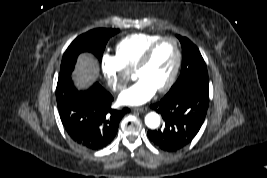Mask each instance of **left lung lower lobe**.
Here are the masks:
<instances>
[{"instance_id":"0a47b994","label":"left lung lower lobe","mask_w":267,"mask_h":178,"mask_svg":"<svg viewBox=\"0 0 267 178\" xmlns=\"http://www.w3.org/2000/svg\"><path fill=\"white\" fill-rule=\"evenodd\" d=\"M209 88L189 84L172 91L151 107L163 117L164 124L148 131L150 140L164 151H177L188 145L199 132L207 114Z\"/></svg>"}]
</instances>
